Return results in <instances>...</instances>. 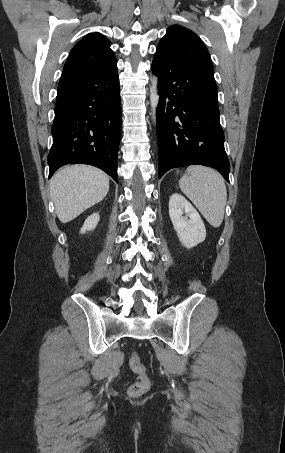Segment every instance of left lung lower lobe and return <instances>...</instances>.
<instances>
[{"instance_id":"left-lung-lower-lobe-1","label":"left lung lower lobe","mask_w":285,"mask_h":453,"mask_svg":"<svg viewBox=\"0 0 285 453\" xmlns=\"http://www.w3.org/2000/svg\"><path fill=\"white\" fill-rule=\"evenodd\" d=\"M152 70L159 77L160 92L158 178L172 168L199 164L215 168L229 182L230 164L224 149L214 78L159 51Z\"/></svg>"}]
</instances>
